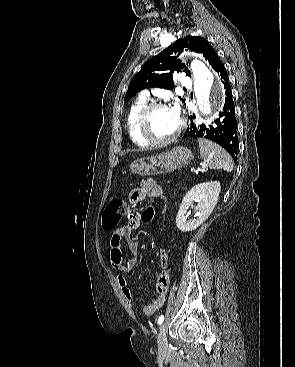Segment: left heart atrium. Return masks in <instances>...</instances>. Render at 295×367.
<instances>
[{
    "mask_svg": "<svg viewBox=\"0 0 295 367\" xmlns=\"http://www.w3.org/2000/svg\"><path fill=\"white\" fill-rule=\"evenodd\" d=\"M172 114L179 120V106L177 104H174L171 108H170Z\"/></svg>",
    "mask_w": 295,
    "mask_h": 367,
    "instance_id": "left-heart-atrium-1",
    "label": "left heart atrium"
}]
</instances>
